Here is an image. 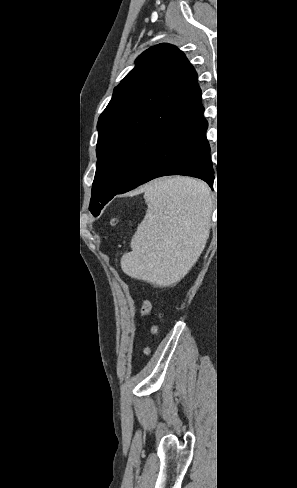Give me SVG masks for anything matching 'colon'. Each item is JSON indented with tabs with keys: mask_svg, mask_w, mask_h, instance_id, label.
<instances>
[{
	"mask_svg": "<svg viewBox=\"0 0 297 488\" xmlns=\"http://www.w3.org/2000/svg\"><path fill=\"white\" fill-rule=\"evenodd\" d=\"M116 222H117V221H116V219H112V220H111V225H112V226H113V225H115V224H116ZM158 333H159V328H158V327H154V328H153V334H155V335H156V334H158Z\"/></svg>",
	"mask_w": 297,
	"mask_h": 488,
	"instance_id": "5ec220e1",
	"label": "colon"
}]
</instances>
